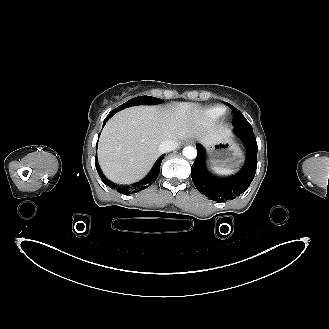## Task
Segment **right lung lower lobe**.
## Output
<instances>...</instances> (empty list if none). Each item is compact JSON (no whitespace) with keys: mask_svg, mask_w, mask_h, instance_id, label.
Wrapping results in <instances>:
<instances>
[{"mask_svg":"<svg viewBox=\"0 0 329 329\" xmlns=\"http://www.w3.org/2000/svg\"><path fill=\"white\" fill-rule=\"evenodd\" d=\"M114 114L113 113H109L108 116L105 118L104 122H103V127L106 124V122L109 120V118H111ZM98 143V142H97ZM96 151H97V144H96ZM97 153V152H96ZM164 156H161L157 162L155 163L153 169L151 170V172L140 182L130 186H118L115 183L111 182L110 180H108L103 173L100 171L98 162H97V156H96V169L98 171V174L100 176V178L102 179V181L108 185L111 189H117V191L121 194H130L131 191L133 190H142L146 187H149V185H151L158 177L159 172H160V165L161 162L163 160Z\"/></svg>","mask_w":329,"mask_h":329,"instance_id":"98d812e1","label":"right lung lower lobe"}]
</instances>
